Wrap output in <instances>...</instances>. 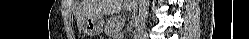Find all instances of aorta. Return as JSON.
Segmentation results:
<instances>
[{
  "label": "aorta",
  "mask_w": 249,
  "mask_h": 39,
  "mask_svg": "<svg viewBox=\"0 0 249 39\" xmlns=\"http://www.w3.org/2000/svg\"><path fill=\"white\" fill-rule=\"evenodd\" d=\"M148 6H149V0H139V14L136 19V25H137V29L135 32L136 36H139V29L145 22Z\"/></svg>",
  "instance_id": "aorta-1"
}]
</instances>
